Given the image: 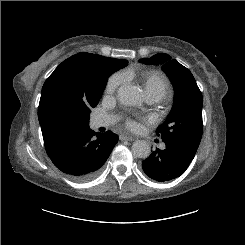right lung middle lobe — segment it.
Here are the masks:
<instances>
[{
	"label": "right lung middle lobe",
	"mask_w": 245,
	"mask_h": 245,
	"mask_svg": "<svg viewBox=\"0 0 245 245\" xmlns=\"http://www.w3.org/2000/svg\"><path fill=\"white\" fill-rule=\"evenodd\" d=\"M119 67L104 57L97 58L91 65V71L98 83V94L95 107L103 93L107 78ZM91 108L80 107L61 91L54 92L49 101V110L53 119L62 124L80 125L83 128L89 127V114Z\"/></svg>",
	"instance_id": "1"
}]
</instances>
